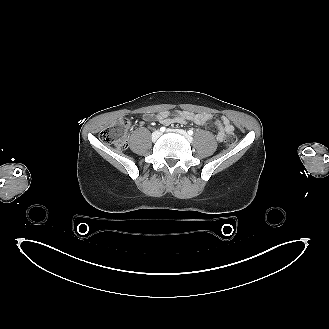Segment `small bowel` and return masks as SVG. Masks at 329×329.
<instances>
[{"label":"small bowel","instance_id":"1","mask_svg":"<svg viewBox=\"0 0 329 329\" xmlns=\"http://www.w3.org/2000/svg\"><path fill=\"white\" fill-rule=\"evenodd\" d=\"M156 119L164 124L193 123L205 126L213 123L217 128L216 139L222 142L227 134L233 133L234 126L226 116L215 117L209 113H193L190 111H162L156 115Z\"/></svg>","mask_w":329,"mask_h":329}]
</instances>
